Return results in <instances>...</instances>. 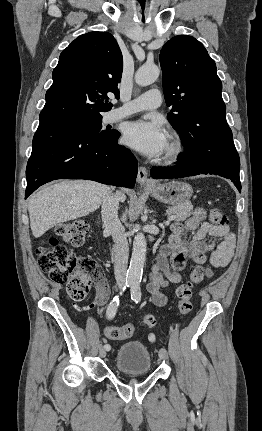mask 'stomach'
Returning a JSON list of instances; mask_svg holds the SVG:
<instances>
[{
	"label": "stomach",
	"instance_id": "stomach-1",
	"mask_svg": "<svg viewBox=\"0 0 262 431\" xmlns=\"http://www.w3.org/2000/svg\"><path fill=\"white\" fill-rule=\"evenodd\" d=\"M148 190L158 201L172 206L187 205L193 194L192 187L183 181L172 180L149 187Z\"/></svg>",
	"mask_w": 262,
	"mask_h": 431
}]
</instances>
